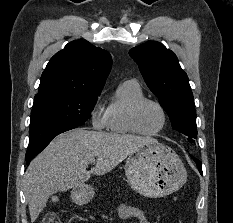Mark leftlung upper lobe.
I'll return each instance as SVG.
<instances>
[{"label":"left lung upper lobe","mask_w":233,"mask_h":223,"mask_svg":"<svg viewBox=\"0 0 233 223\" xmlns=\"http://www.w3.org/2000/svg\"><path fill=\"white\" fill-rule=\"evenodd\" d=\"M136 61L149 89L160 100L173 129L197 136L196 110L187 74L181 69L176 55L159 42H147L129 51Z\"/></svg>","instance_id":"5c2ea615"}]
</instances>
